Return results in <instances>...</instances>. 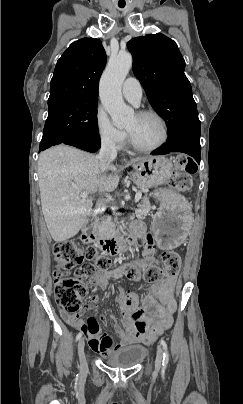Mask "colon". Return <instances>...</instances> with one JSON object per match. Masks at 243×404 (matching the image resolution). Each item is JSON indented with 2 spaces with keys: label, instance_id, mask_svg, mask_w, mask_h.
I'll list each match as a JSON object with an SVG mask.
<instances>
[{
  "label": "colon",
  "instance_id": "colon-1",
  "mask_svg": "<svg viewBox=\"0 0 243 404\" xmlns=\"http://www.w3.org/2000/svg\"><path fill=\"white\" fill-rule=\"evenodd\" d=\"M195 162L187 156H179L175 163L172 186L179 192H184L192 186V175L196 173ZM56 260L54 270V292L57 304L72 316H79L81 301L87 294L85 279L93 277L98 271H107L114 265L106 255H101L93 248L84 249L72 241L57 242L53 246ZM163 266L151 264L142 267L137 263H127L123 266V276L130 280H144L156 283L164 278H172L180 269V257L172 251L163 252ZM76 269L74 276H65L63 271ZM121 310L130 314L138 309V298L134 293H125L120 298Z\"/></svg>",
  "mask_w": 243,
  "mask_h": 404
}]
</instances>
